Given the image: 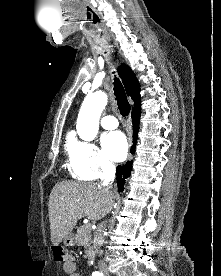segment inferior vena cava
Listing matches in <instances>:
<instances>
[{
	"instance_id": "inferior-vena-cava-1",
	"label": "inferior vena cava",
	"mask_w": 221,
	"mask_h": 276,
	"mask_svg": "<svg viewBox=\"0 0 221 276\" xmlns=\"http://www.w3.org/2000/svg\"><path fill=\"white\" fill-rule=\"evenodd\" d=\"M115 178V166L111 163H107L104 167V174L102 176L103 186H108L114 181ZM112 207L110 208V210ZM107 221H102L96 232L94 233L93 246L96 254L99 252V248L104 243V231L106 228Z\"/></svg>"
}]
</instances>
